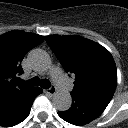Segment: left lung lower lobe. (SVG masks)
I'll list each match as a JSON object with an SVG mask.
<instances>
[{"label": "left lung lower lobe", "mask_w": 128, "mask_h": 128, "mask_svg": "<svg viewBox=\"0 0 128 128\" xmlns=\"http://www.w3.org/2000/svg\"><path fill=\"white\" fill-rule=\"evenodd\" d=\"M69 110L58 112L65 121L74 125H84L96 119L105 110L110 100L92 97L72 96Z\"/></svg>", "instance_id": "obj_1"}]
</instances>
